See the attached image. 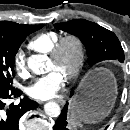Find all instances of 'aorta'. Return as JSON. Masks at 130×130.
Masks as SVG:
<instances>
[{
  "label": "aorta",
  "mask_w": 130,
  "mask_h": 130,
  "mask_svg": "<svg viewBox=\"0 0 130 130\" xmlns=\"http://www.w3.org/2000/svg\"><path fill=\"white\" fill-rule=\"evenodd\" d=\"M28 67L35 74H44L49 71L48 59L44 55H32L27 60ZM45 113L50 117H58L61 109L56 102H47L44 105Z\"/></svg>",
  "instance_id": "762f6f07"
}]
</instances>
